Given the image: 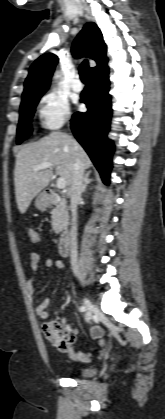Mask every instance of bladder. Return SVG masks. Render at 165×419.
<instances>
[{
    "mask_svg": "<svg viewBox=\"0 0 165 419\" xmlns=\"http://www.w3.org/2000/svg\"><path fill=\"white\" fill-rule=\"evenodd\" d=\"M95 372H96V369L94 367H86V368L81 369L78 372V376H80V377H91L95 374Z\"/></svg>",
    "mask_w": 165,
    "mask_h": 419,
    "instance_id": "bladder-1",
    "label": "bladder"
}]
</instances>
